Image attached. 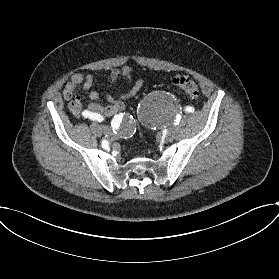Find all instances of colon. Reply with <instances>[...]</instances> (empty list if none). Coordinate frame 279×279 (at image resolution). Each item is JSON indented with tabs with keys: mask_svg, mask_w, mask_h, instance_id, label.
<instances>
[{
	"mask_svg": "<svg viewBox=\"0 0 279 279\" xmlns=\"http://www.w3.org/2000/svg\"><path fill=\"white\" fill-rule=\"evenodd\" d=\"M172 84L177 89L191 96L192 98H197L199 95V87L197 83L189 77L176 76L172 79Z\"/></svg>",
	"mask_w": 279,
	"mask_h": 279,
	"instance_id": "5ec220e1",
	"label": "colon"
}]
</instances>
